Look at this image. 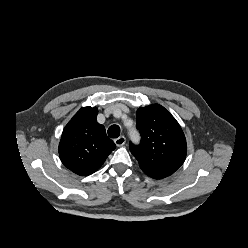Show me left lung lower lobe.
I'll return each instance as SVG.
<instances>
[{"label": "left lung lower lobe", "mask_w": 248, "mask_h": 248, "mask_svg": "<svg viewBox=\"0 0 248 248\" xmlns=\"http://www.w3.org/2000/svg\"><path fill=\"white\" fill-rule=\"evenodd\" d=\"M148 176H150V177H152L154 179H162L161 177H157V176H153V175H148Z\"/></svg>", "instance_id": "0a47b994"}]
</instances>
